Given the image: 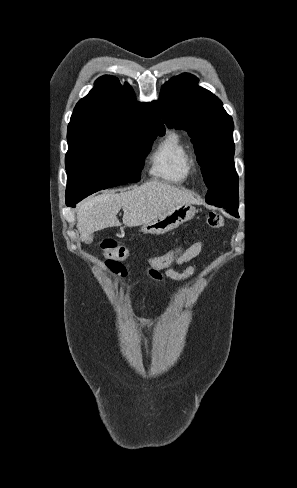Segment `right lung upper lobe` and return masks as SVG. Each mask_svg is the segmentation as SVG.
Returning a JSON list of instances; mask_svg holds the SVG:
<instances>
[{
  "mask_svg": "<svg viewBox=\"0 0 297 488\" xmlns=\"http://www.w3.org/2000/svg\"><path fill=\"white\" fill-rule=\"evenodd\" d=\"M141 127L165 128L151 103H139L128 83L102 76L74 108L67 130L68 144L124 136Z\"/></svg>",
  "mask_w": 297,
  "mask_h": 488,
  "instance_id": "1",
  "label": "right lung upper lobe"
}]
</instances>
